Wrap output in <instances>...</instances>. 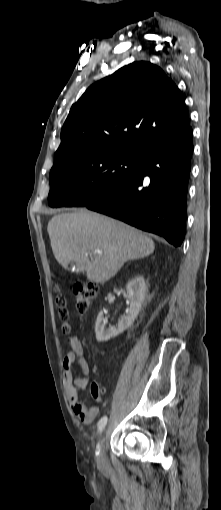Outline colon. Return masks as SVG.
Segmentation results:
<instances>
[{"label": "colon", "instance_id": "colon-1", "mask_svg": "<svg viewBox=\"0 0 221 510\" xmlns=\"http://www.w3.org/2000/svg\"><path fill=\"white\" fill-rule=\"evenodd\" d=\"M98 287L96 284L92 282H78L75 285L74 293H75V311L79 315H84L88 312L93 300L97 296ZM57 304L59 307V317L62 321L65 322L63 329L65 332L69 331V326L66 323L70 316L71 311L67 307V302L63 297H59L57 300ZM90 392L93 400L96 403L101 402V392L97 385V383L93 382L90 387Z\"/></svg>", "mask_w": 221, "mask_h": 510}]
</instances>
